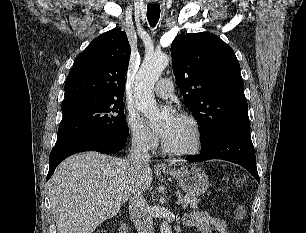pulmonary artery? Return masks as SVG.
Instances as JSON below:
<instances>
[{
  "mask_svg": "<svg viewBox=\"0 0 306 233\" xmlns=\"http://www.w3.org/2000/svg\"><path fill=\"white\" fill-rule=\"evenodd\" d=\"M155 94L162 99H167L173 94V82L169 78L161 79L154 89Z\"/></svg>",
  "mask_w": 306,
  "mask_h": 233,
  "instance_id": "1",
  "label": "pulmonary artery"
}]
</instances>
